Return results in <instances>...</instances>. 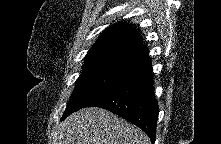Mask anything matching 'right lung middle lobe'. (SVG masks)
Segmentation results:
<instances>
[{
    "label": "right lung middle lobe",
    "mask_w": 221,
    "mask_h": 144,
    "mask_svg": "<svg viewBox=\"0 0 221 144\" xmlns=\"http://www.w3.org/2000/svg\"><path fill=\"white\" fill-rule=\"evenodd\" d=\"M145 57L122 52H107L85 58L84 68L76 81L62 119L85 107L93 98L119 82Z\"/></svg>",
    "instance_id": "dd1d6c3e"
}]
</instances>
